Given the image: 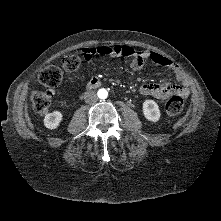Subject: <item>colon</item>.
I'll use <instances>...</instances> for the list:
<instances>
[{"label":"colon","mask_w":221,"mask_h":221,"mask_svg":"<svg viewBox=\"0 0 221 221\" xmlns=\"http://www.w3.org/2000/svg\"><path fill=\"white\" fill-rule=\"evenodd\" d=\"M80 66V58L76 55H69L63 59V69L69 72L77 71ZM63 79V70L55 65L43 68L39 75L38 81L47 88L58 86ZM31 102L33 110L36 113H45L51 106L54 98L52 91H33L31 93ZM184 102L180 96H173L168 100L165 111L170 116H176L183 111Z\"/></svg>","instance_id":"1"}]
</instances>
